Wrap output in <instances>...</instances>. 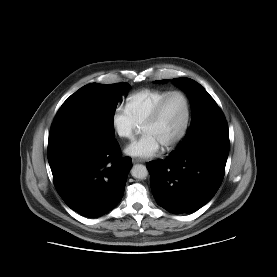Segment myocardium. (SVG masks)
Masks as SVG:
<instances>
[{
    "label": "myocardium",
    "instance_id": "f54148a6",
    "mask_svg": "<svg viewBox=\"0 0 277 277\" xmlns=\"http://www.w3.org/2000/svg\"><path fill=\"white\" fill-rule=\"evenodd\" d=\"M174 95H180L184 99L186 104V118L180 133L170 143L163 146L165 150L174 149L178 144L182 142V140L186 137L188 133V130L191 124V118H192V105H191L189 96L181 90L170 91L159 101V103L156 105L151 115L147 118V120L142 125V128H145L148 125L156 123L162 114L165 104Z\"/></svg>",
    "mask_w": 277,
    "mask_h": 277
}]
</instances>
